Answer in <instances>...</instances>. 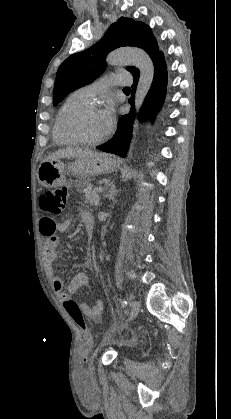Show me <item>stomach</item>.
<instances>
[{"mask_svg":"<svg viewBox=\"0 0 231 419\" xmlns=\"http://www.w3.org/2000/svg\"><path fill=\"white\" fill-rule=\"evenodd\" d=\"M118 165L119 162L114 156L94 152L89 156L75 158L68 164L61 159L43 161L37 170V178L41 186L53 188L66 184V174L71 173L79 177L77 187L81 189L91 177L112 173Z\"/></svg>","mask_w":231,"mask_h":419,"instance_id":"1","label":"stomach"}]
</instances>
